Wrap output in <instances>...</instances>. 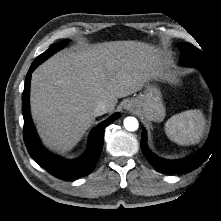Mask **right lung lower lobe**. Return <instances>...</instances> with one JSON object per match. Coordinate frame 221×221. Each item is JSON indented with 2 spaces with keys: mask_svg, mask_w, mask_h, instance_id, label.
<instances>
[{
  "mask_svg": "<svg viewBox=\"0 0 221 221\" xmlns=\"http://www.w3.org/2000/svg\"><path fill=\"white\" fill-rule=\"evenodd\" d=\"M40 64L34 61L27 73L22 95V113L24 118V142L31 157L47 172L59 179H77L90 174L103 148V134L105 128L116 119L119 113L102 122L94 128L90 135L88 149L85 154L76 160H65L50 152L42 145L33 126L29 111V88L31 73Z\"/></svg>",
  "mask_w": 221,
  "mask_h": 221,
  "instance_id": "98d812e1",
  "label": "right lung lower lobe"
}]
</instances>
